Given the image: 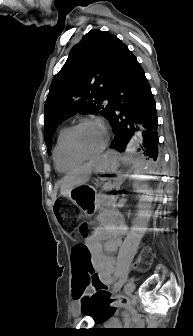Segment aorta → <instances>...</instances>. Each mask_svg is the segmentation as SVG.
Returning a JSON list of instances; mask_svg holds the SVG:
<instances>
[{"instance_id":"aorta-1","label":"aorta","mask_w":193,"mask_h":336,"mask_svg":"<svg viewBox=\"0 0 193 336\" xmlns=\"http://www.w3.org/2000/svg\"><path fill=\"white\" fill-rule=\"evenodd\" d=\"M142 127L140 126V131L135 132L127 143L125 153L127 156H131L139 147L142 141Z\"/></svg>"}]
</instances>
